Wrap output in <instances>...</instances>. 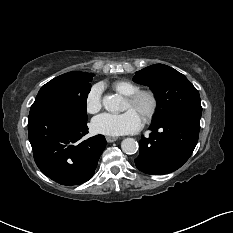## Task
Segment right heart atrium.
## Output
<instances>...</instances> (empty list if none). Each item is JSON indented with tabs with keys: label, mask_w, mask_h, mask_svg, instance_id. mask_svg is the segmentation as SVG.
<instances>
[{
	"label": "right heart atrium",
	"mask_w": 233,
	"mask_h": 233,
	"mask_svg": "<svg viewBox=\"0 0 233 233\" xmlns=\"http://www.w3.org/2000/svg\"><path fill=\"white\" fill-rule=\"evenodd\" d=\"M86 110L89 113H96L102 107V87L100 84H96L91 87L86 96Z\"/></svg>",
	"instance_id": "d8ad5b80"
}]
</instances>
